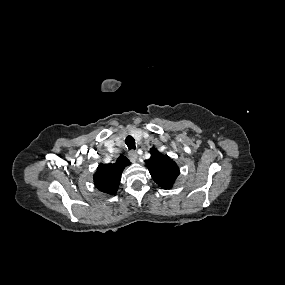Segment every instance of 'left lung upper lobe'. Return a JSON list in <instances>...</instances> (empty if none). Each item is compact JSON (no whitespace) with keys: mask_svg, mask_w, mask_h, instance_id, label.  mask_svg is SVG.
<instances>
[{"mask_svg":"<svg viewBox=\"0 0 285 285\" xmlns=\"http://www.w3.org/2000/svg\"><path fill=\"white\" fill-rule=\"evenodd\" d=\"M147 167L154 181L163 189H171L180 173L177 164L154 147L151 148Z\"/></svg>","mask_w":285,"mask_h":285,"instance_id":"obj_1","label":"left lung upper lobe"}]
</instances>
